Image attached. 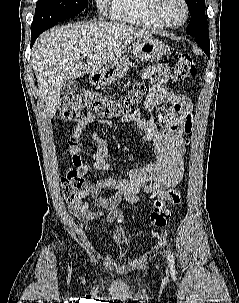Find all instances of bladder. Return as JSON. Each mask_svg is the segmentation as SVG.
<instances>
[{
	"mask_svg": "<svg viewBox=\"0 0 239 303\" xmlns=\"http://www.w3.org/2000/svg\"><path fill=\"white\" fill-rule=\"evenodd\" d=\"M112 244L116 247H122L126 244V240L123 237L115 238L112 240Z\"/></svg>",
	"mask_w": 239,
	"mask_h": 303,
	"instance_id": "31cf9c89",
	"label": "bladder"
}]
</instances>
